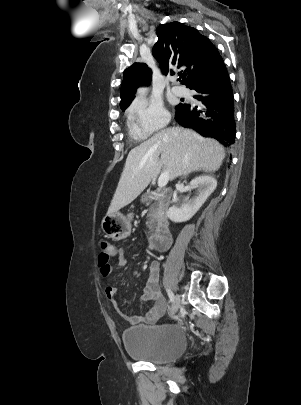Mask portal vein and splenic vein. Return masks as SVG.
Listing matches in <instances>:
<instances>
[{
	"mask_svg": "<svg viewBox=\"0 0 301 405\" xmlns=\"http://www.w3.org/2000/svg\"><path fill=\"white\" fill-rule=\"evenodd\" d=\"M169 181V172H163L160 177L158 178V187L162 188L167 185Z\"/></svg>",
	"mask_w": 301,
	"mask_h": 405,
	"instance_id": "1",
	"label": "portal vein and splenic vein"
}]
</instances>
